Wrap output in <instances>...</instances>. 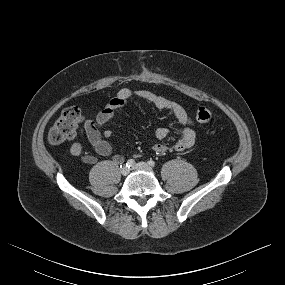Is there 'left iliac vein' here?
<instances>
[{
	"mask_svg": "<svg viewBox=\"0 0 285 285\" xmlns=\"http://www.w3.org/2000/svg\"><path fill=\"white\" fill-rule=\"evenodd\" d=\"M133 170H143L151 172L152 168L145 162H139L132 167Z\"/></svg>",
	"mask_w": 285,
	"mask_h": 285,
	"instance_id": "4c4485c4",
	"label": "left iliac vein"
}]
</instances>
